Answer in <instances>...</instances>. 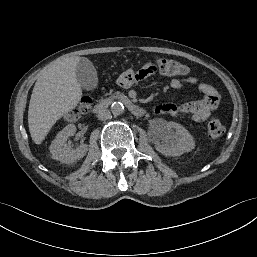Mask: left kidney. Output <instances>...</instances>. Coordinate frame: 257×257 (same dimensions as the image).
I'll return each mask as SVG.
<instances>
[{"label": "left kidney", "mask_w": 257, "mask_h": 257, "mask_svg": "<svg viewBox=\"0 0 257 257\" xmlns=\"http://www.w3.org/2000/svg\"><path fill=\"white\" fill-rule=\"evenodd\" d=\"M195 148L189 131L176 122H167L159 135L156 149L165 156L176 157Z\"/></svg>", "instance_id": "obj_1"}]
</instances>
